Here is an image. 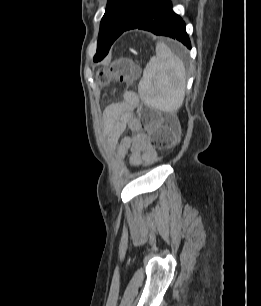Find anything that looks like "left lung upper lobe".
<instances>
[{
    "instance_id": "1",
    "label": "left lung upper lobe",
    "mask_w": 261,
    "mask_h": 306,
    "mask_svg": "<svg viewBox=\"0 0 261 306\" xmlns=\"http://www.w3.org/2000/svg\"><path fill=\"white\" fill-rule=\"evenodd\" d=\"M145 0H108L105 14L101 20L97 53L94 61H101L114 41L142 6Z\"/></svg>"
}]
</instances>
